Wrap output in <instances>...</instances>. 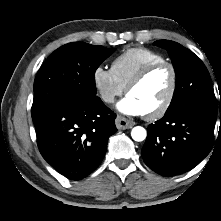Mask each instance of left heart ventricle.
<instances>
[{
  "instance_id": "b2bd125f",
  "label": "left heart ventricle",
  "mask_w": 221,
  "mask_h": 221,
  "mask_svg": "<svg viewBox=\"0 0 221 221\" xmlns=\"http://www.w3.org/2000/svg\"><path fill=\"white\" fill-rule=\"evenodd\" d=\"M171 84V72L167 67L153 71L143 82L133 88L129 95L133 96L145 113L158 108L164 101Z\"/></svg>"
}]
</instances>
